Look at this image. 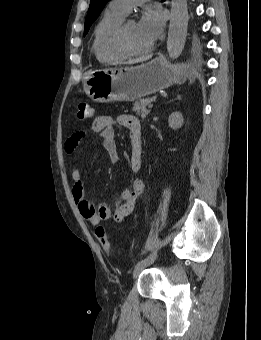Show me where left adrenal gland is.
<instances>
[{
  "label": "left adrenal gland",
  "mask_w": 261,
  "mask_h": 340,
  "mask_svg": "<svg viewBox=\"0 0 261 340\" xmlns=\"http://www.w3.org/2000/svg\"><path fill=\"white\" fill-rule=\"evenodd\" d=\"M181 97L179 95H177V97L175 98V100H180Z\"/></svg>",
  "instance_id": "1"
}]
</instances>
